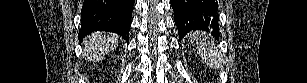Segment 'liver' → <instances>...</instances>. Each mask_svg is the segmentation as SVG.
Wrapping results in <instances>:
<instances>
[{"mask_svg": "<svg viewBox=\"0 0 307 83\" xmlns=\"http://www.w3.org/2000/svg\"><path fill=\"white\" fill-rule=\"evenodd\" d=\"M118 39L117 35L105 32H96L87 36L83 41L87 60L95 63L104 58L105 54L116 47Z\"/></svg>", "mask_w": 307, "mask_h": 83, "instance_id": "obj_1", "label": "liver"}]
</instances>
